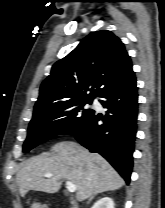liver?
<instances>
[{
    "mask_svg": "<svg viewBox=\"0 0 165 208\" xmlns=\"http://www.w3.org/2000/svg\"><path fill=\"white\" fill-rule=\"evenodd\" d=\"M46 173L53 176L45 179ZM63 179L76 185L78 201L124 185L121 176L102 156L71 141L57 143L50 153L28 159L17 173L22 197L30 190L56 193Z\"/></svg>",
    "mask_w": 165,
    "mask_h": 208,
    "instance_id": "6515ba94",
    "label": "liver"
}]
</instances>
